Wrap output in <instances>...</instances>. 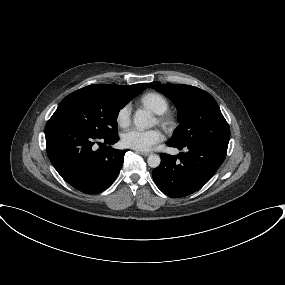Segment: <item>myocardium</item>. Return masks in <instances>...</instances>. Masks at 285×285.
I'll return each instance as SVG.
<instances>
[{
	"instance_id": "1",
	"label": "myocardium",
	"mask_w": 285,
	"mask_h": 285,
	"mask_svg": "<svg viewBox=\"0 0 285 285\" xmlns=\"http://www.w3.org/2000/svg\"><path fill=\"white\" fill-rule=\"evenodd\" d=\"M159 123L167 129H173L176 125V120L173 116L169 114H161L158 117Z\"/></svg>"
}]
</instances>
